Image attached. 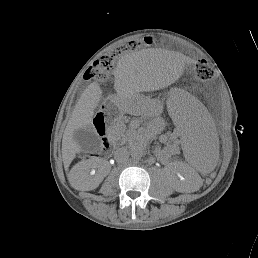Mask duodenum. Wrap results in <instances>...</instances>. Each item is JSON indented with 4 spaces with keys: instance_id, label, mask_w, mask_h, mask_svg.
I'll list each match as a JSON object with an SVG mask.
<instances>
[{
    "instance_id": "1",
    "label": "duodenum",
    "mask_w": 258,
    "mask_h": 258,
    "mask_svg": "<svg viewBox=\"0 0 258 258\" xmlns=\"http://www.w3.org/2000/svg\"><path fill=\"white\" fill-rule=\"evenodd\" d=\"M104 141H105L106 143H109V137L106 136V135H104Z\"/></svg>"
}]
</instances>
